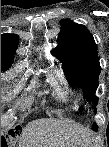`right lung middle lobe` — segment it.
Returning <instances> with one entry per match:
<instances>
[{
	"instance_id": "right-lung-middle-lobe-1",
	"label": "right lung middle lobe",
	"mask_w": 109,
	"mask_h": 147,
	"mask_svg": "<svg viewBox=\"0 0 109 147\" xmlns=\"http://www.w3.org/2000/svg\"><path fill=\"white\" fill-rule=\"evenodd\" d=\"M1 70H2V71H6L7 69H3V68H1Z\"/></svg>"
}]
</instances>
